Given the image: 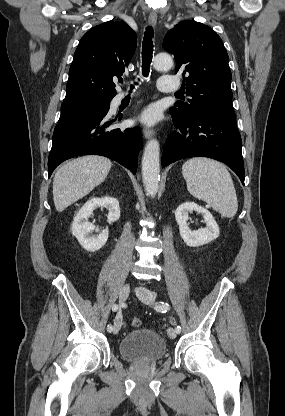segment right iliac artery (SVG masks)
I'll list each match as a JSON object with an SVG mask.
<instances>
[{"label":"right iliac artery","instance_id":"82829eb1","mask_svg":"<svg viewBox=\"0 0 285 416\" xmlns=\"http://www.w3.org/2000/svg\"><path fill=\"white\" fill-rule=\"evenodd\" d=\"M119 309V306L117 305V304H114L113 306H112V311H117ZM112 329H113V327H112V325L111 324H109L108 326H107V331L108 332H111L112 331Z\"/></svg>","mask_w":285,"mask_h":416}]
</instances>
